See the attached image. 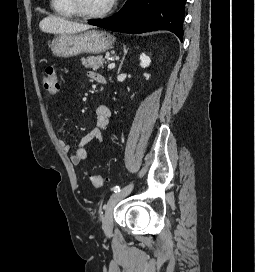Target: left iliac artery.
Wrapping results in <instances>:
<instances>
[{
  "label": "left iliac artery",
  "instance_id": "obj_1",
  "mask_svg": "<svg viewBox=\"0 0 255 272\" xmlns=\"http://www.w3.org/2000/svg\"><path fill=\"white\" fill-rule=\"evenodd\" d=\"M113 190H114V192H120V191H121V189H120L119 186H115V187L113 188Z\"/></svg>",
  "mask_w": 255,
  "mask_h": 272
}]
</instances>
